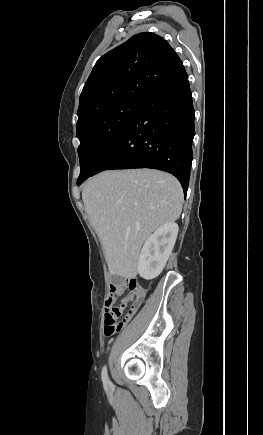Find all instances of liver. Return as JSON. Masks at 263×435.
Masks as SVG:
<instances>
[{
  "label": "liver",
  "mask_w": 263,
  "mask_h": 435,
  "mask_svg": "<svg viewBox=\"0 0 263 435\" xmlns=\"http://www.w3.org/2000/svg\"><path fill=\"white\" fill-rule=\"evenodd\" d=\"M82 199L104 248L111 275L136 277L150 234L182 211L183 190L172 175L150 169L111 170L90 178Z\"/></svg>",
  "instance_id": "6515ba94"
}]
</instances>
